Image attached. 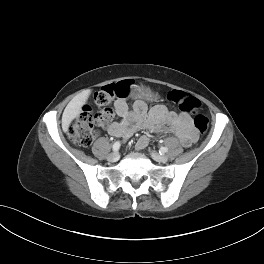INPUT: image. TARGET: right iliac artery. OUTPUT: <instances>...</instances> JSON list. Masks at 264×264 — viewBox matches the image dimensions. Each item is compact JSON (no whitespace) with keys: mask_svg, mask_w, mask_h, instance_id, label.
<instances>
[{"mask_svg":"<svg viewBox=\"0 0 264 264\" xmlns=\"http://www.w3.org/2000/svg\"><path fill=\"white\" fill-rule=\"evenodd\" d=\"M113 151H118L119 148H120V142L119 141H116L114 144H113Z\"/></svg>","mask_w":264,"mask_h":264,"instance_id":"82829eb1","label":"right iliac artery"}]
</instances>
